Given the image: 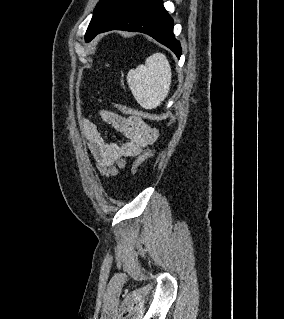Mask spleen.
<instances>
[{
    "instance_id": "spleen-1",
    "label": "spleen",
    "mask_w": 284,
    "mask_h": 319,
    "mask_svg": "<svg viewBox=\"0 0 284 319\" xmlns=\"http://www.w3.org/2000/svg\"><path fill=\"white\" fill-rule=\"evenodd\" d=\"M171 67L162 53L149 56L145 64L130 69L127 82L137 102L145 109H153L166 98L171 85Z\"/></svg>"
}]
</instances>
